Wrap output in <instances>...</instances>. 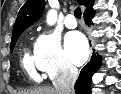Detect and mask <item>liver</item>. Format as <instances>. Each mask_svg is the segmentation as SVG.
Returning <instances> with one entry per match:
<instances>
[{
	"label": "liver",
	"instance_id": "6515ba94",
	"mask_svg": "<svg viewBox=\"0 0 121 94\" xmlns=\"http://www.w3.org/2000/svg\"><path fill=\"white\" fill-rule=\"evenodd\" d=\"M18 94H58L56 89L49 86H41L31 90H24Z\"/></svg>",
	"mask_w": 121,
	"mask_h": 94
}]
</instances>
